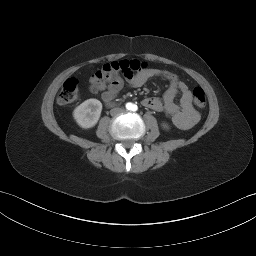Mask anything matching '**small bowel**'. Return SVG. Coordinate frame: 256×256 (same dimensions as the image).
Masks as SVG:
<instances>
[{"label":"small bowel","instance_id":"small-bowel-1","mask_svg":"<svg viewBox=\"0 0 256 256\" xmlns=\"http://www.w3.org/2000/svg\"><path fill=\"white\" fill-rule=\"evenodd\" d=\"M157 76H161L169 82V86L163 95V102L156 97H148L143 99V106L158 112L164 111L171 118L172 123L181 130L190 129L198 122L199 114L192 107V93L189 87L171 71L149 68L128 79L116 78L109 84H103L93 91L100 92L105 102L112 101L125 85L139 88L148 79ZM177 94H180L179 104L174 102Z\"/></svg>","mask_w":256,"mask_h":256}]
</instances>
